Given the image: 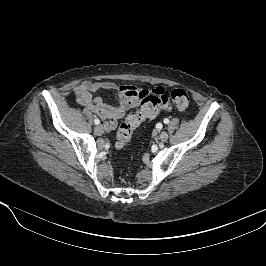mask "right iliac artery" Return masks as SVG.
Listing matches in <instances>:
<instances>
[{
    "mask_svg": "<svg viewBox=\"0 0 266 266\" xmlns=\"http://www.w3.org/2000/svg\"><path fill=\"white\" fill-rule=\"evenodd\" d=\"M94 123L98 125V124L100 123V120L96 118V119L94 120Z\"/></svg>",
    "mask_w": 266,
    "mask_h": 266,
    "instance_id": "right-iliac-artery-1",
    "label": "right iliac artery"
}]
</instances>
